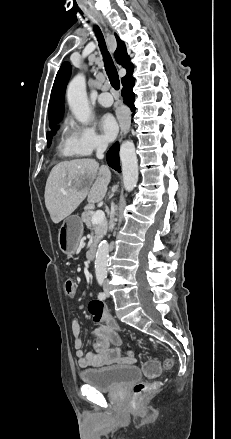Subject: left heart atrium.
<instances>
[{
    "instance_id": "obj_1",
    "label": "left heart atrium",
    "mask_w": 231,
    "mask_h": 439,
    "mask_svg": "<svg viewBox=\"0 0 231 439\" xmlns=\"http://www.w3.org/2000/svg\"><path fill=\"white\" fill-rule=\"evenodd\" d=\"M100 129L106 140H113L118 133V124L111 114H105L100 119Z\"/></svg>"
}]
</instances>
